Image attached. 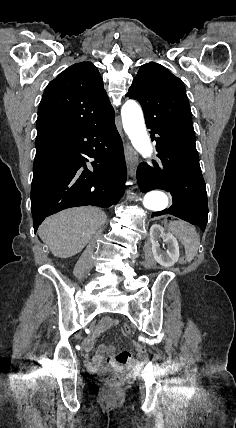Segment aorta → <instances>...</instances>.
<instances>
[{
  "mask_svg": "<svg viewBox=\"0 0 236 428\" xmlns=\"http://www.w3.org/2000/svg\"><path fill=\"white\" fill-rule=\"evenodd\" d=\"M124 130L133 147L144 157L150 158L153 152L150 138L146 131L141 107L133 100H128L121 109ZM169 204L168 196L162 191L148 192L143 198V205L153 212L163 211Z\"/></svg>",
  "mask_w": 236,
  "mask_h": 428,
  "instance_id": "1",
  "label": "aorta"
}]
</instances>
